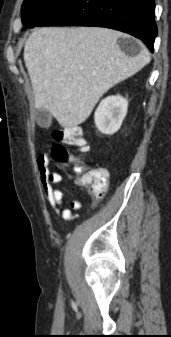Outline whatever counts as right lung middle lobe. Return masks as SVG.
<instances>
[{"label":"right lung middle lobe","instance_id":"obj_1","mask_svg":"<svg viewBox=\"0 0 171 337\" xmlns=\"http://www.w3.org/2000/svg\"><path fill=\"white\" fill-rule=\"evenodd\" d=\"M68 0H25L22 5V23L33 28L54 14Z\"/></svg>","mask_w":171,"mask_h":337}]
</instances>
